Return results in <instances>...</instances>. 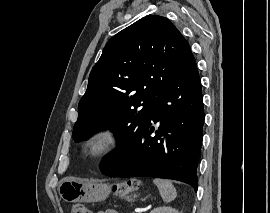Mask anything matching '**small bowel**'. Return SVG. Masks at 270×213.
Segmentation results:
<instances>
[{"label": "small bowel", "instance_id": "c3829d8e", "mask_svg": "<svg viewBox=\"0 0 270 213\" xmlns=\"http://www.w3.org/2000/svg\"><path fill=\"white\" fill-rule=\"evenodd\" d=\"M98 213H118V212L114 209H106L105 211H99Z\"/></svg>", "mask_w": 270, "mask_h": 213}]
</instances>
